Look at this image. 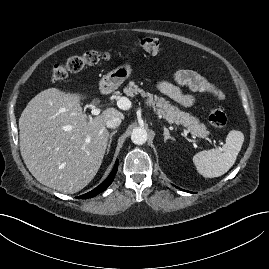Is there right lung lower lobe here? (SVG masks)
I'll return each mask as SVG.
<instances>
[{"mask_svg": "<svg viewBox=\"0 0 269 269\" xmlns=\"http://www.w3.org/2000/svg\"><path fill=\"white\" fill-rule=\"evenodd\" d=\"M117 169H118V160H116V163H115L113 170L111 171L110 175L107 177V179L105 181H103L98 187H96L92 191H90L84 195H81L77 198L88 199V198H92V197L98 195L99 193L103 192L112 183V181L116 175Z\"/></svg>", "mask_w": 269, "mask_h": 269, "instance_id": "1", "label": "right lung lower lobe"}]
</instances>
